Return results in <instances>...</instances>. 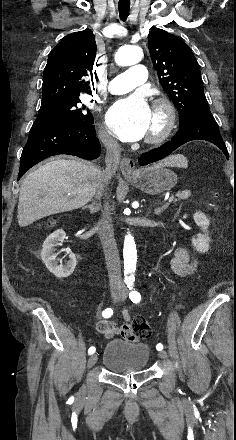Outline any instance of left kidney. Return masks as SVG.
<instances>
[{"label":"left kidney","instance_id":"5707ae66","mask_svg":"<svg viewBox=\"0 0 236 440\" xmlns=\"http://www.w3.org/2000/svg\"><path fill=\"white\" fill-rule=\"evenodd\" d=\"M193 218L197 226L201 228L203 234L199 233L195 237H193L192 245L196 251L200 253H205L209 250L210 238L208 235V227L210 225V220L202 212L194 213Z\"/></svg>","mask_w":236,"mask_h":440}]
</instances>
